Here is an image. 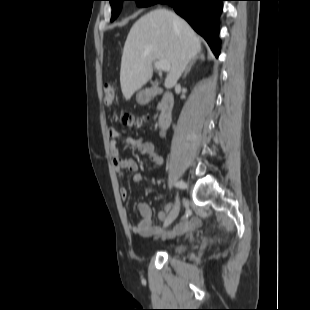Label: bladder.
Returning a JSON list of instances; mask_svg holds the SVG:
<instances>
[{"label": "bladder", "instance_id": "bladder-1", "mask_svg": "<svg viewBox=\"0 0 310 310\" xmlns=\"http://www.w3.org/2000/svg\"><path fill=\"white\" fill-rule=\"evenodd\" d=\"M188 248L186 242H176L170 247L171 254H181Z\"/></svg>", "mask_w": 310, "mask_h": 310}]
</instances>
